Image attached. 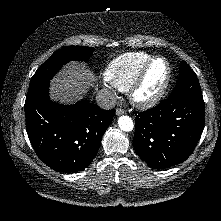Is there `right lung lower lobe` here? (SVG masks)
Instances as JSON below:
<instances>
[{
    "mask_svg": "<svg viewBox=\"0 0 221 221\" xmlns=\"http://www.w3.org/2000/svg\"><path fill=\"white\" fill-rule=\"evenodd\" d=\"M115 110H103L87 101L61 105L50 100L49 83L26 97L29 140L50 168L74 173L90 165Z\"/></svg>",
    "mask_w": 221,
    "mask_h": 221,
    "instance_id": "98d812e1",
    "label": "right lung lower lobe"
}]
</instances>
